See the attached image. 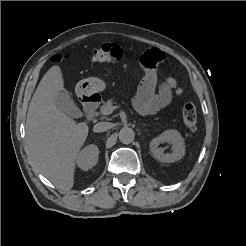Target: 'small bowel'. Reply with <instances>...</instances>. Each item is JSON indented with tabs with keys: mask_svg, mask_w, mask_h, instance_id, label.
Returning a JSON list of instances; mask_svg holds the SVG:
<instances>
[{
	"mask_svg": "<svg viewBox=\"0 0 246 246\" xmlns=\"http://www.w3.org/2000/svg\"><path fill=\"white\" fill-rule=\"evenodd\" d=\"M165 58L159 49H151L141 57L145 70L144 78L134 99L136 110L142 115L154 114L167 107L173 98L170 79L159 83L156 68Z\"/></svg>",
	"mask_w": 246,
	"mask_h": 246,
	"instance_id": "obj_1",
	"label": "small bowel"
}]
</instances>
